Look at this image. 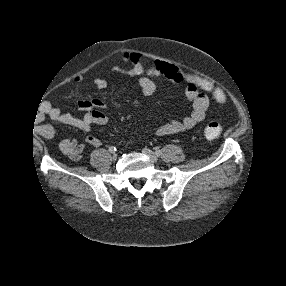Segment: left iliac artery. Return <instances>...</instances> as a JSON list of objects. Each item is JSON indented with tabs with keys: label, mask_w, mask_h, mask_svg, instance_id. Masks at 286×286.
<instances>
[{
	"label": "left iliac artery",
	"mask_w": 286,
	"mask_h": 286,
	"mask_svg": "<svg viewBox=\"0 0 286 286\" xmlns=\"http://www.w3.org/2000/svg\"><path fill=\"white\" fill-rule=\"evenodd\" d=\"M155 153H156L157 156H160V155L162 154V151H161L160 149H157V150L155 151Z\"/></svg>",
	"instance_id": "left-iliac-artery-1"
}]
</instances>
